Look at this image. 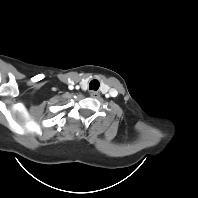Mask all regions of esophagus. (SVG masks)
<instances>
[{
  "mask_svg": "<svg viewBox=\"0 0 198 198\" xmlns=\"http://www.w3.org/2000/svg\"><path fill=\"white\" fill-rule=\"evenodd\" d=\"M90 96L93 98H99L100 97V93L97 91H91L90 92Z\"/></svg>",
  "mask_w": 198,
  "mask_h": 198,
  "instance_id": "1",
  "label": "esophagus"
}]
</instances>
